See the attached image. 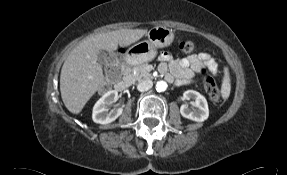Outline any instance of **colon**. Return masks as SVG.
Listing matches in <instances>:
<instances>
[{
	"label": "colon",
	"instance_id": "obj_1",
	"mask_svg": "<svg viewBox=\"0 0 287 175\" xmlns=\"http://www.w3.org/2000/svg\"><path fill=\"white\" fill-rule=\"evenodd\" d=\"M179 49L182 53H191L196 49V44L191 40L182 41L179 45ZM200 74L202 75L204 87L210 99L213 102H218L220 100V91L217 88L214 79L208 73V70L205 67L200 69ZM118 76L119 74L115 70L111 75V79L117 80Z\"/></svg>",
	"mask_w": 287,
	"mask_h": 175
}]
</instances>
